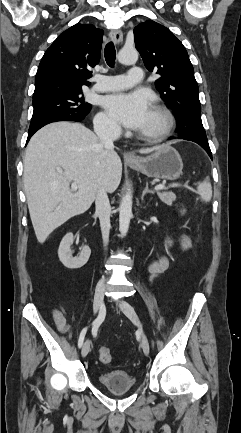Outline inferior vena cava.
Segmentation results:
<instances>
[{
    "mask_svg": "<svg viewBox=\"0 0 241 433\" xmlns=\"http://www.w3.org/2000/svg\"><path fill=\"white\" fill-rule=\"evenodd\" d=\"M94 131L101 144L106 147H114L113 141L120 135V128L118 126L106 123L95 125ZM95 205L100 220L103 243L106 246L109 240L111 206L105 189H98Z\"/></svg>",
    "mask_w": 241,
    "mask_h": 433,
    "instance_id": "1",
    "label": "inferior vena cava"
}]
</instances>
